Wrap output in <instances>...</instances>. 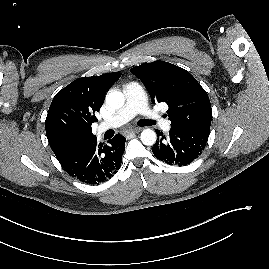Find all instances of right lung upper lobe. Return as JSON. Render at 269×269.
Instances as JSON below:
<instances>
[{
    "instance_id": "obj_1",
    "label": "right lung upper lobe",
    "mask_w": 269,
    "mask_h": 269,
    "mask_svg": "<svg viewBox=\"0 0 269 269\" xmlns=\"http://www.w3.org/2000/svg\"><path fill=\"white\" fill-rule=\"evenodd\" d=\"M118 72L74 80L54 97L46 120L48 142L58 161L94 140L91 124L103 104L105 93L120 78Z\"/></svg>"
}]
</instances>
